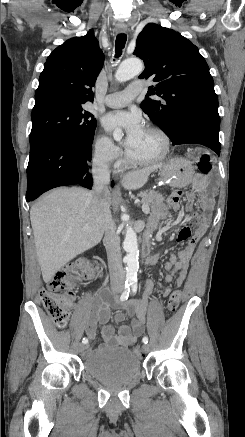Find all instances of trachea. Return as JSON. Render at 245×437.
I'll return each mask as SVG.
<instances>
[{"instance_id": "3493384b", "label": "trachea", "mask_w": 245, "mask_h": 437, "mask_svg": "<svg viewBox=\"0 0 245 437\" xmlns=\"http://www.w3.org/2000/svg\"><path fill=\"white\" fill-rule=\"evenodd\" d=\"M126 40H127V35L122 33V34H118L116 37V47H115V57L118 58L121 56L122 54V50L125 47L126 44Z\"/></svg>"}]
</instances>
